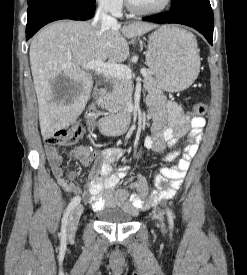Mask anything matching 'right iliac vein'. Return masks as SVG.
<instances>
[{
  "mask_svg": "<svg viewBox=\"0 0 247 275\" xmlns=\"http://www.w3.org/2000/svg\"><path fill=\"white\" fill-rule=\"evenodd\" d=\"M83 210H84V208L81 204H79L73 208V210L70 214L69 223H68V236L69 237H72L75 235L80 217L83 213Z\"/></svg>",
  "mask_w": 247,
  "mask_h": 275,
  "instance_id": "1",
  "label": "right iliac vein"
}]
</instances>
